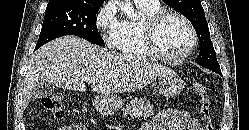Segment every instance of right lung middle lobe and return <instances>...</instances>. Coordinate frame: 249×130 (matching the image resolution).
<instances>
[{"instance_id": "dd1d6c3e", "label": "right lung middle lobe", "mask_w": 249, "mask_h": 130, "mask_svg": "<svg viewBox=\"0 0 249 130\" xmlns=\"http://www.w3.org/2000/svg\"><path fill=\"white\" fill-rule=\"evenodd\" d=\"M101 5L72 2H58L47 5L35 49L65 35L79 36L92 44L105 46L96 26V14Z\"/></svg>"}]
</instances>
